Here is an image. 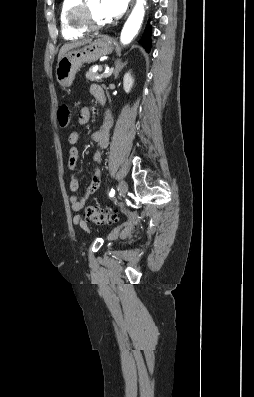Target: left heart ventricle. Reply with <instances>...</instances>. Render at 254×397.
<instances>
[{
	"mask_svg": "<svg viewBox=\"0 0 254 397\" xmlns=\"http://www.w3.org/2000/svg\"><path fill=\"white\" fill-rule=\"evenodd\" d=\"M87 3L92 19L97 23H106L107 19L100 9V0H88Z\"/></svg>",
	"mask_w": 254,
	"mask_h": 397,
	"instance_id": "b2bd125f",
	"label": "left heart ventricle"
}]
</instances>
